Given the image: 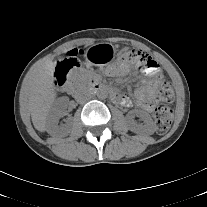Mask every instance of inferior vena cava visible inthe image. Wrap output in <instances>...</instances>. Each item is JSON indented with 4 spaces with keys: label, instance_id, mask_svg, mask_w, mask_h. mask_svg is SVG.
<instances>
[{
    "label": "inferior vena cava",
    "instance_id": "1",
    "mask_svg": "<svg viewBox=\"0 0 207 207\" xmlns=\"http://www.w3.org/2000/svg\"><path fill=\"white\" fill-rule=\"evenodd\" d=\"M91 98H92V96L90 94H88V93H80L77 96V101L80 102V103H85L88 100H90Z\"/></svg>",
    "mask_w": 207,
    "mask_h": 207
}]
</instances>
